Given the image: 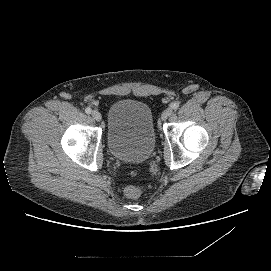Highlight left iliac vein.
Listing matches in <instances>:
<instances>
[{"instance_id":"left-iliac-vein-1","label":"left iliac vein","mask_w":271,"mask_h":271,"mask_svg":"<svg viewBox=\"0 0 271 271\" xmlns=\"http://www.w3.org/2000/svg\"><path fill=\"white\" fill-rule=\"evenodd\" d=\"M171 114H172V108L168 107L163 111L161 115V119L165 121Z\"/></svg>"}]
</instances>
